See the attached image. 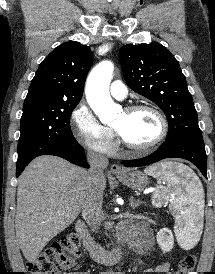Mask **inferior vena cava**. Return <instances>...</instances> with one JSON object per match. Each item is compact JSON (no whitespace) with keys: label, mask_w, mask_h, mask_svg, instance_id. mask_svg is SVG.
Returning a JSON list of instances; mask_svg holds the SVG:
<instances>
[{"label":"inferior vena cava","mask_w":215,"mask_h":274,"mask_svg":"<svg viewBox=\"0 0 215 274\" xmlns=\"http://www.w3.org/2000/svg\"><path fill=\"white\" fill-rule=\"evenodd\" d=\"M87 161L90 165L87 178L86 194L82 206V216L91 231L98 232L103 221V170L108 166V158L94 151L87 152Z\"/></svg>","instance_id":"obj_1"}]
</instances>
